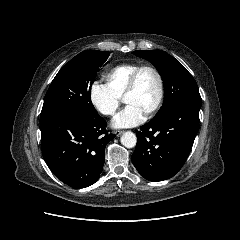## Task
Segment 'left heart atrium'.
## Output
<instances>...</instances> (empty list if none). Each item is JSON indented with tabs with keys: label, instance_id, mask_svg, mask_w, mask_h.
I'll use <instances>...</instances> for the list:
<instances>
[{
	"label": "left heart atrium",
	"instance_id": "left-heart-atrium-1",
	"mask_svg": "<svg viewBox=\"0 0 240 240\" xmlns=\"http://www.w3.org/2000/svg\"><path fill=\"white\" fill-rule=\"evenodd\" d=\"M144 119V113L134 105L128 104L112 120L116 128L134 127L140 124Z\"/></svg>",
	"mask_w": 240,
	"mask_h": 240
}]
</instances>
